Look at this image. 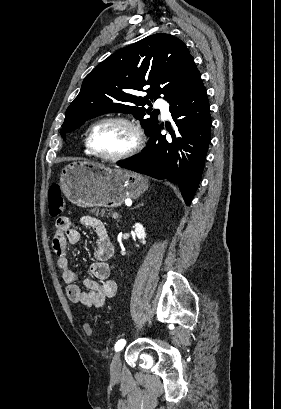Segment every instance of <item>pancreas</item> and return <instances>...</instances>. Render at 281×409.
<instances>
[{
    "instance_id": "cf45deb5",
    "label": "pancreas",
    "mask_w": 281,
    "mask_h": 409,
    "mask_svg": "<svg viewBox=\"0 0 281 409\" xmlns=\"http://www.w3.org/2000/svg\"><path fill=\"white\" fill-rule=\"evenodd\" d=\"M104 213H105V209H102V211H100V213H99V211H97L96 215H104ZM108 215H110V213H108Z\"/></svg>"
}]
</instances>
